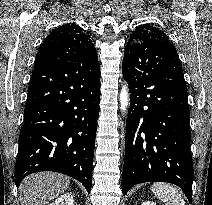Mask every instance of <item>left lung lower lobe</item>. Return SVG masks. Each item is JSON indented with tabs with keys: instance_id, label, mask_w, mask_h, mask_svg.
<instances>
[{
	"instance_id": "obj_1",
	"label": "left lung lower lobe",
	"mask_w": 212,
	"mask_h": 205,
	"mask_svg": "<svg viewBox=\"0 0 212 205\" xmlns=\"http://www.w3.org/2000/svg\"><path fill=\"white\" fill-rule=\"evenodd\" d=\"M122 72L129 83L122 192L138 183L178 185L192 200L187 88L175 47L148 38L128 44Z\"/></svg>"
}]
</instances>
